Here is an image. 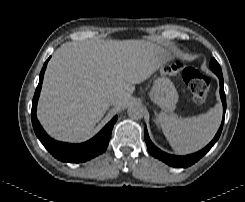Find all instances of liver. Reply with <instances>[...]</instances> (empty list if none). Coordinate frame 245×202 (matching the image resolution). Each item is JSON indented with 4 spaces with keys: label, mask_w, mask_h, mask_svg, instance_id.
Instances as JSON below:
<instances>
[{
    "label": "liver",
    "mask_w": 245,
    "mask_h": 202,
    "mask_svg": "<svg viewBox=\"0 0 245 202\" xmlns=\"http://www.w3.org/2000/svg\"><path fill=\"white\" fill-rule=\"evenodd\" d=\"M167 60L164 49L144 40H103L63 44L53 54L42 85L37 116L53 138L78 142L92 133L116 94L122 105L135 84Z\"/></svg>",
    "instance_id": "6515ba94"
}]
</instances>
